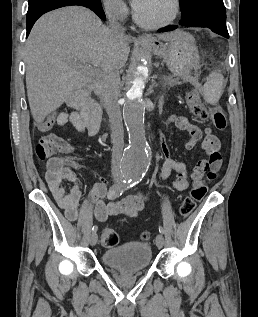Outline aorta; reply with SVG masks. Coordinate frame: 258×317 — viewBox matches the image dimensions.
<instances>
[{
  "mask_svg": "<svg viewBox=\"0 0 258 317\" xmlns=\"http://www.w3.org/2000/svg\"><path fill=\"white\" fill-rule=\"evenodd\" d=\"M146 72L147 68L144 66L137 68L123 106V118L128 132L129 144L124 151L120 166L123 176L134 181L144 177L150 163L144 128L145 107L142 100L145 87L142 75Z\"/></svg>",
  "mask_w": 258,
  "mask_h": 317,
  "instance_id": "aorta-1",
  "label": "aorta"
}]
</instances>
